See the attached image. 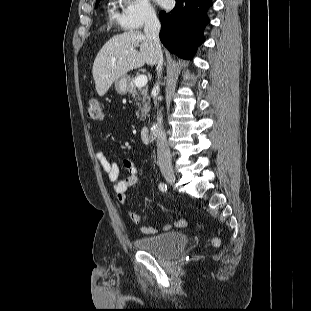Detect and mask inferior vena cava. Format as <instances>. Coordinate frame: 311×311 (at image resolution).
<instances>
[{"label": "inferior vena cava", "instance_id": "inferior-vena-cava-1", "mask_svg": "<svg viewBox=\"0 0 311 311\" xmlns=\"http://www.w3.org/2000/svg\"><path fill=\"white\" fill-rule=\"evenodd\" d=\"M160 22L154 12L147 14L144 25V33L146 37L151 40L155 46L157 52V74L158 79L161 76L163 66V54L161 50V43L159 39ZM156 89H159L157 83ZM157 105V100L155 102ZM157 159L160 167L171 166V153L167 144L166 133L162 126V117L157 115Z\"/></svg>", "mask_w": 311, "mask_h": 311}]
</instances>
